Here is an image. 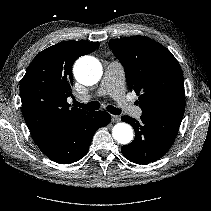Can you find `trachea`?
Listing matches in <instances>:
<instances>
[{
    "label": "trachea",
    "mask_w": 211,
    "mask_h": 211,
    "mask_svg": "<svg viewBox=\"0 0 211 211\" xmlns=\"http://www.w3.org/2000/svg\"><path fill=\"white\" fill-rule=\"evenodd\" d=\"M74 106L82 108V109H85V110H88V111H94V110H98L100 108V103L97 102V101H92V102H90L88 104H82V103H79V102L75 101L74 102ZM107 110L111 114H114V115L121 114V109L115 108L112 105H108L107 106Z\"/></svg>",
    "instance_id": "trachea-1"
}]
</instances>
